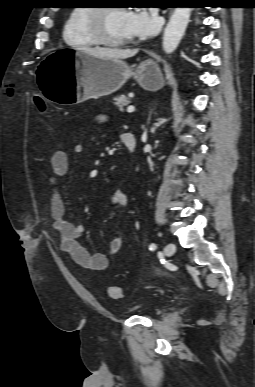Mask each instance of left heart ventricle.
<instances>
[{
    "mask_svg": "<svg viewBox=\"0 0 255 387\" xmlns=\"http://www.w3.org/2000/svg\"><path fill=\"white\" fill-rule=\"evenodd\" d=\"M126 10L114 9L107 13L105 18V28L107 34L113 39H128L129 34L126 29Z\"/></svg>",
    "mask_w": 255,
    "mask_h": 387,
    "instance_id": "1",
    "label": "left heart ventricle"
}]
</instances>
